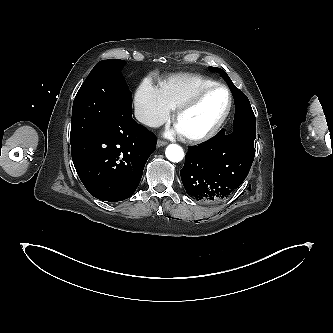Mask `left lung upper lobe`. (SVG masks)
<instances>
[{
  "mask_svg": "<svg viewBox=\"0 0 333 333\" xmlns=\"http://www.w3.org/2000/svg\"><path fill=\"white\" fill-rule=\"evenodd\" d=\"M209 70L212 71V72L219 73L222 76V78L227 81V83L231 87V90H232L233 94L234 95H239L240 97H243L245 99V101L247 102V104L250 105L247 97L238 88H236L234 86L231 79L229 78V76L226 74V72L224 70H222L221 68H217V67H209Z\"/></svg>",
  "mask_w": 333,
  "mask_h": 333,
  "instance_id": "obj_1",
  "label": "left lung upper lobe"
}]
</instances>
